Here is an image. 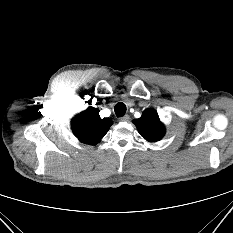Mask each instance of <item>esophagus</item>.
I'll return each mask as SVG.
<instances>
[{
  "instance_id": "34e87169",
  "label": "esophagus",
  "mask_w": 233,
  "mask_h": 233,
  "mask_svg": "<svg viewBox=\"0 0 233 233\" xmlns=\"http://www.w3.org/2000/svg\"><path fill=\"white\" fill-rule=\"evenodd\" d=\"M130 116L129 115H124L123 117H121L119 120L120 121H129Z\"/></svg>"
}]
</instances>
